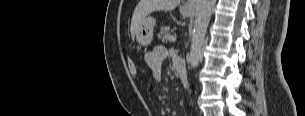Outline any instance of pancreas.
I'll return each mask as SVG.
<instances>
[{
  "instance_id": "obj_1",
  "label": "pancreas",
  "mask_w": 305,
  "mask_h": 116,
  "mask_svg": "<svg viewBox=\"0 0 305 116\" xmlns=\"http://www.w3.org/2000/svg\"><path fill=\"white\" fill-rule=\"evenodd\" d=\"M170 36H171L170 27L169 26L161 27V31L158 34V38L162 39V41H168Z\"/></svg>"
}]
</instances>
